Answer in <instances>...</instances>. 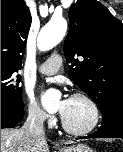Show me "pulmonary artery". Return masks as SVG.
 <instances>
[{
	"instance_id": "obj_1",
	"label": "pulmonary artery",
	"mask_w": 123,
	"mask_h": 152,
	"mask_svg": "<svg viewBox=\"0 0 123 152\" xmlns=\"http://www.w3.org/2000/svg\"><path fill=\"white\" fill-rule=\"evenodd\" d=\"M61 65V55L54 53L50 55L49 58L39 66L38 71L45 75H53L59 70Z\"/></svg>"
}]
</instances>
